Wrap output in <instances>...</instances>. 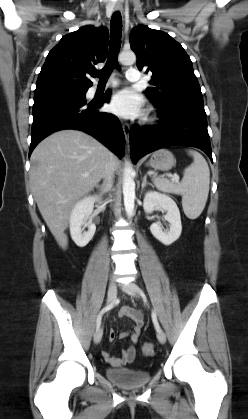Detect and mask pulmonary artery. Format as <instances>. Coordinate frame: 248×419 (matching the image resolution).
<instances>
[{"label": "pulmonary artery", "mask_w": 248, "mask_h": 419, "mask_svg": "<svg viewBox=\"0 0 248 419\" xmlns=\"http://www.w3.org/2000/svg\"><path fill=\"white\" fill-rule=\"evenodd\" d=\"M126 79L130 82H139L140 79H141L139 70L136 67L128 68V70L126 72ZM116 85H117V82L111 81L108 84V87H114Z\"/></svg>", "instance_id": "1"}]
</instances>
